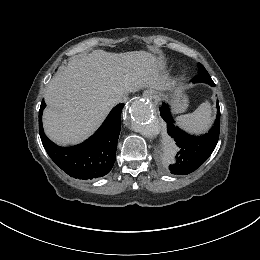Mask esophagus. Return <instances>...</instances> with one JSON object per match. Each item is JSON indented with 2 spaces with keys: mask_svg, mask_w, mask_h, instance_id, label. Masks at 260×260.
<instances>
[{
  "mask_svg": "<svg viewBox=\"0 0 260 260\" xmlns=\"http://www.w3.org/2000/svg\"><path fill=\"white\" fill-rule=\"evenodd\" d=\"M144 98L153 99L154 98V92L152 90H146L143 93Z\"/></svg>",
  "mask_w": 260,
  "mask_h": 260,
  "instance_id": "1",
  "label": "esophagus"
}]
</instances>
